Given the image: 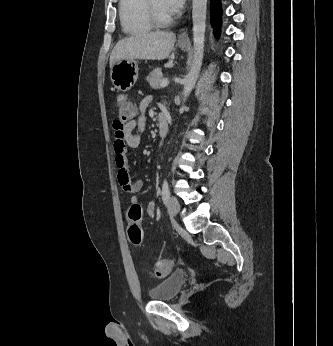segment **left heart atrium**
<instances>
[{
    "label": "left heart atrium",
    "instance_id": "39dd6f15",
    "mask_svg": "<svg viewBox=\"0 0 333 346\" xmlns=\"http://www.w3.org/2000/svg\"><path fill=\"white\" fill-rule=\"evenodd\" d=\"M164 9L169 14H176L183 7L185 0H162Z\"/></svg>",
    "mask_w": 333,
    "mask_h": 346
}]
</instances>
